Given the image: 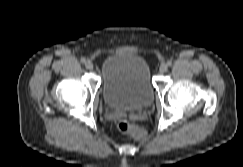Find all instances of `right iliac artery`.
<instances>
[{
    "mask_svg": "<svg viewBox=\"0 0 243 167\" xmlns=\"http://www.w3.org/2000/svg\"><path fill=\"white\" fill-rule=\"evenodd\" d=\"M80 61L81 63H86V58L82 57Z\"/></svg>",
    "mask_w": 243,
    "mask_h": 167,
    "instance_id": "82829eb1",
    "label": "right iliac artery"
}]
</instances>
